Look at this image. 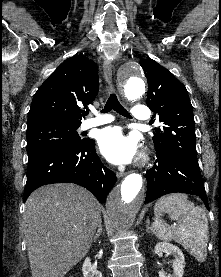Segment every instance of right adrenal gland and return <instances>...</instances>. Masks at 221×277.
I'll list each match as a JSON object with an SVG mask.
<instances>
[{"label": "right adrenal gland", "mask_w": 221, "mask_h": 277, "mask_svg": "<svg viewBox=\"0 0 221 277\" xmlns=\"http://www.w3.org/2000/svg\"><path fill=\"white\" fill-rule=\"evenodd\" d=\"M103 232V228H102V221H100L99 225H98V229L97 232L93 238V241L96 242V240L99 238V236L101 235V233Z\"/></svg>", "instance_id": "obj_1"}]
</instances>
